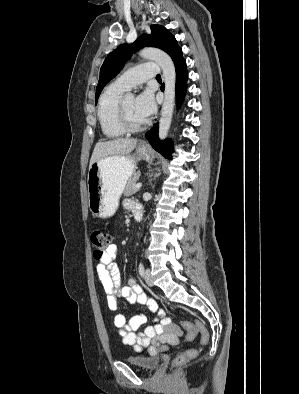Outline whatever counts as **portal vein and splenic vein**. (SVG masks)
<instances>
[{"mask_svg": "<svg viewBox=\"0 0 299 394\" xmlns=\"http://www.w3.org/2000/svg\"><path fill=\"white\" fill-rule=\"evenodd\" d=\"M142 187V183H137L136 184V189H140Z\"/></svg>", "mask_w": 299, "mask_h": 394, "instance_id": "18ae733b", "label": "portal vein and splenic vein"}]
</instances>
